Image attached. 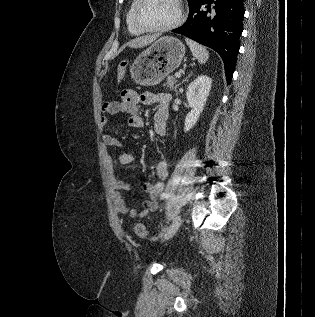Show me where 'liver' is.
<instances>
[{
	"label": "liver",
	"mask_w": 315,
	"mask_h": 317,
	"mask_svg": "<svg viewBox=\"0 0 315 317\" xmlns=\"http://www.w3.org/2000/svg\"><path fill=\"white\" fill-rule=\"evenodd\" d=\"M158 38V35H150L138 37L131 40L128 45L130 48H142L154 42Z\"/></svg>",
	"instance_id": "liver-1"
}]
</instances>
